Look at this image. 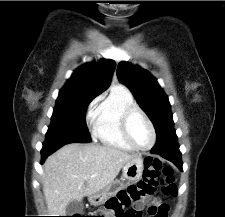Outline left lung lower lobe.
<instances>
[{"mask_svg": "<svg viewBox=\"0 0 225 217\" xmlns=\"http://www.w3.org/2000/svg\"><path fill=\"white\" fill-rule=\"evenodd\" d=\"M159 154L163 158L173 162L178 168L182 169L181 153L179 151V146L169 148L162 151L153 152Z\"/></svg>", "mask_w": 225, "mask_h": 217, "instance_id": "obj_1", "label": "left lung lower lobe"}]
</instances>
